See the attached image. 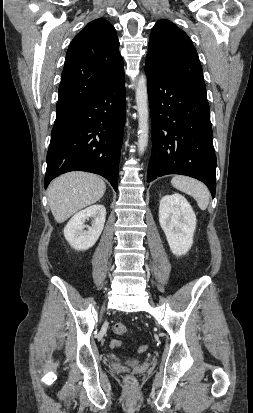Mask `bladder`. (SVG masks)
Masks as SVG:
<instances>
[{
	"label": "bladder",
	"mask_w": 253,
	"mask_h": 413,
	"mask_svg": "<svg viewBox=\"0 0 253 413\" xmlns=\"http://www.w3.org/2000/svg\"><path fill=\"white\" fill-rule=\"evenodd\" d=\"M128 365H137L140 363V359L138 358H131L126 361Z\"/></svg>",
	"instance_id": "bladder-1"
}]
</instances>
